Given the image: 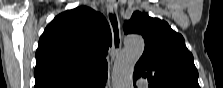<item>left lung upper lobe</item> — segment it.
I'll return each mask as SVG.
<instances>
[{"label": "left lung upper lobe", "mask_w": 223, "mask_h": 88, "mask_svg": "<svg viewBox=\"0 0 223 88\" xmlns=\"http://www.w3.org/2000/svg\"><path fill=\"white\" fill-rule=\"evenodd\" d=\"M124 32L141 34L145 41L133 81L142 76L148 78L149 88H200L193 55L167 22L136 11L124 22Z\"/></svg>", "instance_id": "1"}]
</instances>
